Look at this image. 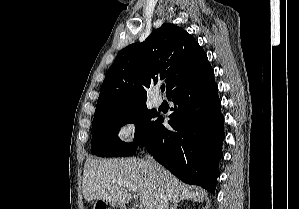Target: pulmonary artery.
I'll list each match as a JSON object with an SVG mask.
<instances>
[{
  "mask_svg": "<svg viewBox=\"0 0 299 209\" xmlns=\"http://www.w3.org/2000/svg\"><path fill=\"white\" fill-rule=\"evenodd\" d=\"M161 103H162V99L160 97H158V96H153L152 97L153 106L159 107L161 105Z\"/></svg>",
  "mask_w": 299,
  "mask_h": 209,
  "instance_id": "pulmonary-artery-1",
  "label": "pulmonary artery"
}]
</instances>
